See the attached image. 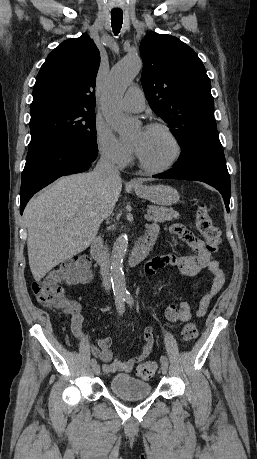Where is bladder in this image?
<instances>
[{
	"label": "bladder",
	"mask_w": 257,
	"mask_h": 459,
	"mask_svg": "<svg viewBox=\"0 0 257 459\" xmlns=\"http://www.w3.org/2000/svg\"><path fill=\"white\" fill-rule=\"evenodd\" d=\"M109 390L124 400H137L152 393L150 384L130 374H116L110 379Z\"/></svg>",
	"instance_id": "bladder-1"
}]
</instances>
